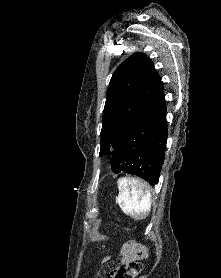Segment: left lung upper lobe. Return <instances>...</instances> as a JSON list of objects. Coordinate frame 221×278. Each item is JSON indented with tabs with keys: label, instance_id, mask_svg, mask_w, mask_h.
I'll use <instances>...</instances> for the list:
<instances>
[{
	"label": "left lung upper lobe",
	"instance_id": "1",
	"mask_svg": "<svg viewBox=\"0 0 221 278\" xmlns=\"http://www.w3.org/2000/svg\"><path fill=\"white\" fill-rule=\"evenodd\" d=\"M160 83V76L144 53L131 55L117 67L107 90L100 156L112 153L149 104Z\"/></svg>",
	"mask_w": 221,
	"mask_h": 278
}]
</instances>
